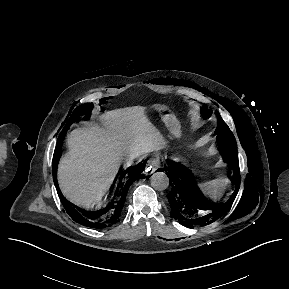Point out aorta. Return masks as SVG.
I'll return each instance as SVG.
<instances>
[{
	"instance_id": "aorta-1",
	"label": "aorta",
	"mask_w": 289,
	"mask_h": 289,
	"mask_svg": "<svg viewBox=\"0 0 289 289\" xmlns=\"http://www.w3.org/2000/svg\"><path fill=\"white\" fill-rule=\"evenodd\" d=\"M151 186L155 190H165L169 186V179L163 172H156L151 176Z\"/></svg>"
}]
</instances>
